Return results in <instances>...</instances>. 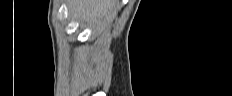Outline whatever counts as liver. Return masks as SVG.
Here are the masks:
<instances>
[{
    "instance_id": "1",
    "label": "liver",
    "mask_w": 232,
    "mask_h": 96,
    "mask_svg": "<svg viewBox=\"0 0 232 96\" xmlns=\"http://www.w3.org/2000/svg\"><path fill=\"white\" fill-rule=\"evenodd\" d=\"M116 0H70V12L81 21L100 24L115 16Z\"/></svg>"
}]
</instances>
